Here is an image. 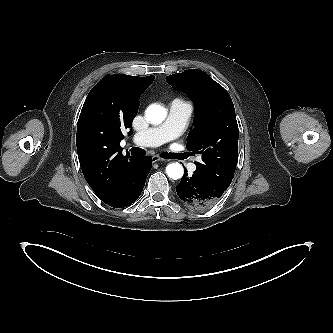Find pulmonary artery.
I'll use <instances>...</instances> for the list:
<instances>
[{"label": "pulmonary artery", "mask_w": 333, "mask_h": 333, "mask_svg": "<svg viewBox=\"0 0 333 333\" xmlns=\"http://www.w3.org/2000/svg\"><path fill=\"white\" fill-rule=\"evenodd\" d=\"M193 107L189 102L175 99L171 102L166 120L156 126L134 135L133 141L139 146H159L178 137L186 128ZM188 169L194 171L196 166L189 164Z\"/></svg>", "instance_id": "obj_1"}]
</instances>
